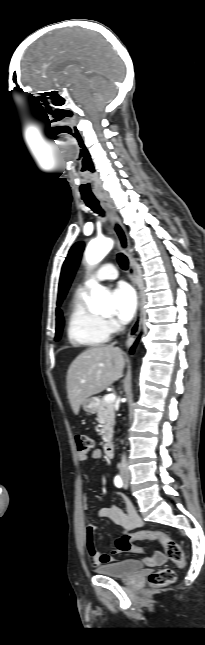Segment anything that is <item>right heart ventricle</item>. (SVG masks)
<instances>
[{
    "label": "right heart ventricle",
    "instance_id": "obj_1",
    "mask_svg": "<svg viewBox=\"0 0 205 645\" xmlns=\"http://www.w3.org/2000/svg\"><path fill=\"white\" fill-rule=\"evenodd\" d=\"M110 335L107 321L88 305V294L77 290L70 308L67 336L71 344L93 347L106 342Z\"/></svg>",
    "mask_w": 205,
    "mask_h": 645
}]
</instances>
